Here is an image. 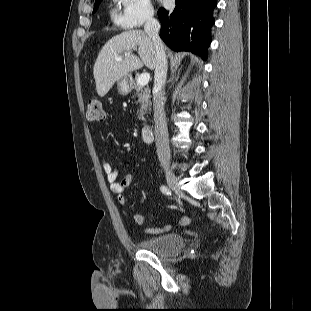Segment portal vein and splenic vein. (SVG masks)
I'll use <instances>...</instances> for the list:
<instances>
[{
  "mask_svg": "<svg viewBox=\"0 0 311 311\" xmlns=\"http://www.w3.org/2000/svg\"><path fill=\"white\" fill-rule=\"evenodd\" d=\"M115 60H116V61H120V60H122V58H121V57H115ZM149 79H150V74H149V73H143V74H141V75L138 77L137 83H138L139 85L145 86V85L148 84Z\"/></svg>",
  "mask_w": 311,
  "mask_h": 311,
  "instance_id": "obj_1",
  "label": "portal vein and splenic vein"
}]
</instances>
